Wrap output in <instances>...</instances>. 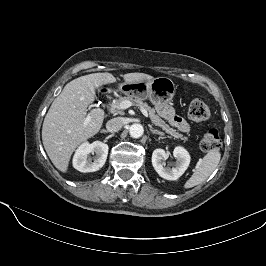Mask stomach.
Wrapping results in <instances>:
<instances>
[{
    "label": "stomach",
    "mask_w": 266,
    "mask_h": 266,
    "mask_svg": "<svg viewBox=\"0 0 266 266\" xmlns=\"http://www.w3.org/2000/svg\"><path fill=\"white\" fill-rule=\"evenodd\" d=\"M119 89L123 94L139 100L148 98L157 108L168 104L176 92L175 83L168 77H157L150 81L124 82Z\"/></svg>",
    "instance_id": "obj_1"
}]
</instances>
